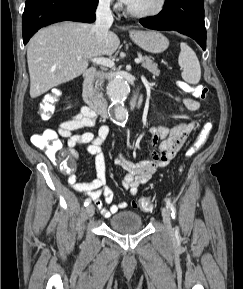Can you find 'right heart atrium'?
<instances>
[{"instance_id":"obj_1","label":"right heart atrium","mask_w":243,"mask_h":289,"mask_svg":"<svg viewBox=\"0 0 243 289\" xmlns=\"http://www.w3.org/2000/svg\"><path fill=\"white\" fill-rule=\"evenodd\" d=\"M99 4L103 7H110L114 4V0H98Z\"/></svg>"}]
</instances>
